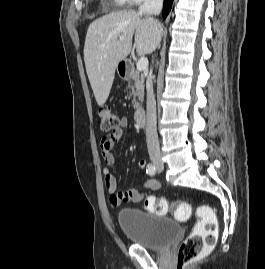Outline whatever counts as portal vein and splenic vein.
<instances>
[{"instance_id":"obj_1","label":"portal vein and splenic vein","mask_w":265,"mask_h":269,"mask_svg":"<svg viewBox=\"0 0 265 269\" xmlns=\"http://www.w3.org/2000/svg\"><path fill=\"white\" fill-rule=\"evenodd\" d=\"M123 38L120 37V40ZM148 67V59L146 57H141L137 62V70L138 71H144Z\"/></svg>"}]
</instances>
